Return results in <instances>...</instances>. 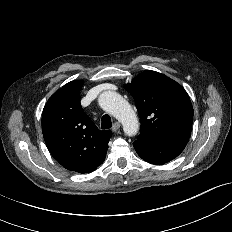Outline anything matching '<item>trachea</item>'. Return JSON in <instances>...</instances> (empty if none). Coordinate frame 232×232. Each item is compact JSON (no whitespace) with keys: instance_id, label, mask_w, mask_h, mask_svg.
<instances>
[{"instance_id":"trachea-1","label":"trachea","mask_w":232,"mask_h":232,"mask_svg":"<svg viewBox=\"0 0 232 232\" xmlns=\"http://www.w3.org/2000/svg\"><path fill=\"white\" fill-rule=\"evenodd\" d=\"M101 121H102V123H101L102 129L111 128V126H112L111 117L108 114L103 115Z\"/></svg>"}]
</instances>
